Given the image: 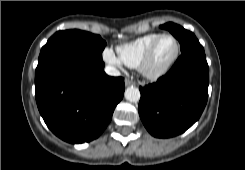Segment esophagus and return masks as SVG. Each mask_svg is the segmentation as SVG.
<instances>
[{
    "mask_svg": "<svg viewBox=\"0 0 245 170\" xmlns=\"http://www.w3.org/2000/svg\"><path fill=\"white\" fill-rule=\"evenodd\" d=\"M133 84H134V82L129 80V79L125 80V86H130V85H133Z\"/></svg>",
    "mask_w": 245,
    "mask_h": 170,
    "instance_id": "1",
    "label": "esophagus"
}]
</instances>
